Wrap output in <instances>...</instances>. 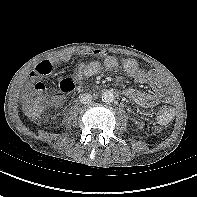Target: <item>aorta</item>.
I'll use <instances>...</instances> for the list:
<instances>
[{"mask_svg":"<svg viewBox=\"0 0 197 197\" xmlns=\"http://www.w3.org/2000/svg\"><path fill=\"white\" fill-rule=\"evenodd\" d=\"M102 101L109 104L114 101V94L112 90H106L102 94Z\"/></svg>","mask_w":197,"mask_h":197,"instance_id":"1","label":"aorta"}]
</instances>
